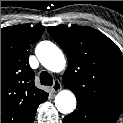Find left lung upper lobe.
<instances>
[{
	"label": "left lung upper lobe",
	"mask_w": 123,
	"mask_h": 123,
	"mask_svg": "<svg viewBox=\"0 0 123 123\" xmlns=\"http://www.w3.org/2000/svg\"><path fill=\"white\" fill-rule=\"evenodd\" d=\"M65 51L68 68L65 86L77 101L119 113L123 109V56L118 46L89 26L48 27Z\"/></svg>",
	"instance_id": "5c2ea615"
}]
</instances>
